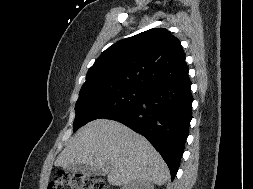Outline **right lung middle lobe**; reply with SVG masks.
I'll return each mask as SVG.
<instances>
[{
  "instance_id": "1",
  "label": "right lung middle lobe",
  "mask_w": 253,
  "mask_h": 189,
  "mask_svg": "<svg viewBox=\"0 0 253 189\" xmlns=\"http://www.w3.org/2000/svg\"><path fill=\"white\" fill-rule=\"evenodd\" d=\"M145 91L124 87L110 86L80 93L76 102L73 131L88 122L107 118L137 104Z\"/></svg>"
}]
</instances>
